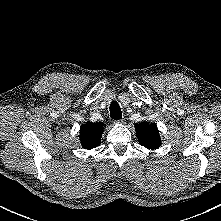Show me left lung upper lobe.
I'll return each mask as SVG.
<instances>
[{
  "label": "left lung upper lobe",
  "mask_w": 221,
  "mask_h": 221,
  "mask_svg": "<svg viewBox=\"0 0 221 221\" xmlns=\"http://www.w3.org/2000/svg\"><path fill=\"white\" fill-rule=\"evenodd\" d=\"M136 136L142 146L154 150L161 146V139L155 123L141 122L135 124Z\"/></svg>",
  "instance_id": "obj_1"
}]
</instances>
